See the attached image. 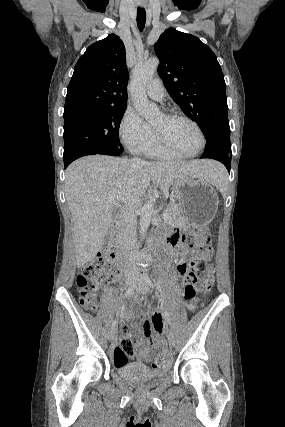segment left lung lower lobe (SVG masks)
Instances as JSON below:
<instances>
[{
    "label": "left lung lower lobe",
    "mask_w": 285,
    "mask_h": 427,
    "mask_svg": "<svg viewBox=\"0 0 285 427\" xmlns=\"http://www.w3.org/2000/svg\"><path fill=\"white\" fill-rule=\"evenodd\" d=\"M206 147L201 158L215 159L223 163L230 172L231 147L230 128L215 127L204 133Z\"/></svg>",
    "instance_id": "left-lung-lower-lobe-1"
}]
</instances>
